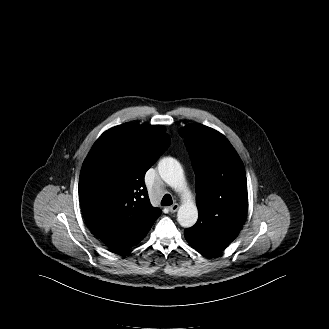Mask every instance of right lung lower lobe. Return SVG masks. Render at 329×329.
Wrapping results in <instances>:
<instances>
[{
    "mask_svg": "<svg viewBox=\"0 0 329 329\" xmlns=\"http://www.w3.org/2000/svg\"><path fill=\"white\" fill-rule=\"evenodd\" d=\"M148 231L137 236L136 238H131L128 240H118V241L107 244V246L112 252L121 253V252L127 250L128 248L138 244L146 236Z\"/></svg>",
    "mask_w": 329,
    "mask_h": 329,
    "instance_id": "obj_1",
    "label": "right lung lower lobe"
}]
</instances>
